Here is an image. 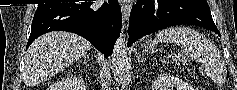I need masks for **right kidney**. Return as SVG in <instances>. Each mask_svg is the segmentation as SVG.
<instances>
[{
  "label": "right kidney",
  "instance_id": "right-kidney-1",
  "mask_svg": "<svg viewBox=\"0 0 237 90\" xmlns=\"http://www.w3.org/2000/svg\"><path fill=\"white\" fill-rule=\"evenodd\" d=\"M57 88V86H56ZM58 88H65V86H61V84H58Z\"/></svg>",
  "mask_w": 237,
  "mask_h": 90
}]
</instances>
